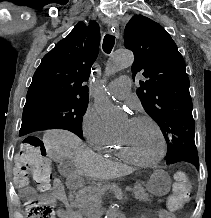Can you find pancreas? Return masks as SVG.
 <instances>
[{
  "label": "pancreas",
  "mask_w": 211,
  "mask_h": 218,
  "mask_svg": "<svg viewBox=\"0 0 211 218\" xmlns=\"http://www.w3.org/2000/svg\"><path fill=\"white\" fill-rule=\"evenodd\" d=\"M104 186H85L83 190H76L71 198V206L79 208L85 218L93 216L94 205H101V200L104 199ZM136 200L146 202L149 196L146 194L141 184H135L132 188Z\"/></svg>",
  "instance_id": "cf45deb5"
}]
</instances>
